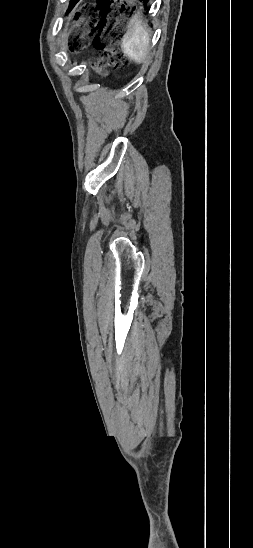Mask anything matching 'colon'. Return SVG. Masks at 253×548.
Returning a JSON list of instances; mask_svg holds the SVG:
<instances>
[{"instance_id": "obj_1", "label": "colon", "mask_w": 253, "mask_h": 548, "mask_svg": "<svg viewBox=\"0 0 253 548\" xmlns=\"http://www.w3.org/2000/svg\"><path fill=\"white\" fill-rule=\"evenodd\" d=\"M133 7L128 0H97L79 11L73 29L71 48L85 49L92 38L94 47L100 52L95 69L103 73L128 65V59L120 49L123 37V23L132 14Z\"/></svg>"}]
</instances>
